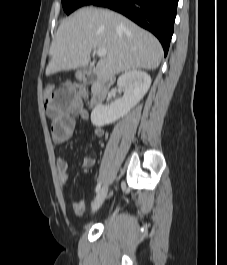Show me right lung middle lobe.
<instances>
[{"label": "right lung middle lobe", "mask_w": 227, "mask_h": 265, "mask_svg": "<svg viewBox=\"0 0 227 265\" xmlns=\"http://www.w3.org/2000/svg\"><path fill=\"white\" fill-rule=\"evenodd\" d=\"M93 1L94 0H62V5L64 8V11L67 14H70L77 8L84 6V5H89Z\"/></svg>", "instance_id": "obj_1"}]
</instances>
